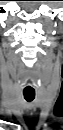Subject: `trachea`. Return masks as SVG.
<instances>
[{"instance_id":"obj_1","label":"trachea","mask_w":63,"mask_h":130,"mask_svg":"<svg viewBox=\"0 0 63 130\" xmlns=\"http://www.w3.org/2000/svg\"><path fill=\"white\" fill-rule=\"evenodd\" d=\"M23 95H24V98H25V100L27 102H31L35 98V93L34 92H24Z\"/></svg>"}]
</instances>
